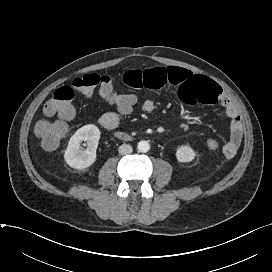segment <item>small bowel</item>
Instances as JSON below:
<instances>
[{"label": "small bowel", "instance_id": "obj_1", "mask_svg": "<svg viewBox=\"0 0 272 272\" xmlns=\"http://www.w3.org/2000/svg\"><path fill=\"white\" fill-rule=\"evenodd\" d=\"M124 83L133 89L158 90L167 86L178 89L179 99L188 105L218 103L230 120V137L222 146L227 159H232L238 152L243 135V123L240 113L222 88L204 76L178 67H153L145 70H129L123 75ZM155 111V104L146 100L142 112L150 115ZM120 110L108 111L100 116L99 124L108 130L118 127L123 115Z\"/></svg>", "mask_w": 272, "mask_h": 272}]
</instances>
